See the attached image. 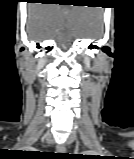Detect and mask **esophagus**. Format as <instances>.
I'll return each mask as SVG.
<instances>
[{
    "mask_svg": "<svg viewBox=\"0 0 134 159\" xmlns=\"http://www.w3.org/2000/svg\"><path fill=\"white\" fill-rule=\"evenodd\" d=\"M56 150L60 153H64L66 151L65 145L64 144H58L56 146Z\"/></svg>",
    "mask_w": 134,
    "mask_h": 159,
    "instance_id": "obj_1",
    "label": "esophagus"
}]
</instances>
